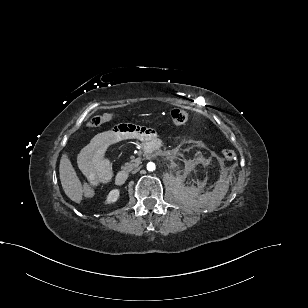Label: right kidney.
Wrapping results in <instances>:
<instances>
[{
	"label": "right kidney",
	"instance_id": "ca27d5eb",
	"mask_svg": "<svg viewBox=\"0 0 308 308\" xmlns=\"http://www.w3.org/2000/svg\"><path fill=\"white\" fill-rule=\"evenodd\" d=\"M120 195V191L119 189H113L109 192V194L106 197V203L107 204H112L115 203Z\"/></svg>",
	"mask_w": 308,
	"mask_h": 308
}]
</instances>
